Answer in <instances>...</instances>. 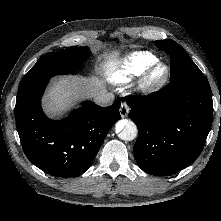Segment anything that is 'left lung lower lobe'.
I'll return each instance as SVG.
<instances>
[{
    "label": "left lung lower lobe",
    "instance_id": "0a47b994",
    "mask_svg": "<svg viewBox=\"0 0 221 221\" xmlns=\"http://www.w3.org/2000/svg\"><path fill=\"white\" fill-rule=\"evenodd\" d=\"M127 103L129 117L138 128L134 156L143 171L157 176L173 174L200 155L213 116L206 77H181L159 92L127 97Z\"/></svg>",
    "mask_w": 221,
    "mask_h": 221
}]
</instances>
